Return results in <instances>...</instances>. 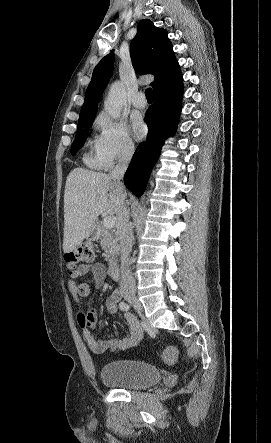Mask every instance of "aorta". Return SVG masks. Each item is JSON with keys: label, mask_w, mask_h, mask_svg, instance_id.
Here are the masks:
<instances>
[{"label": "aorta", "mask_w": 271, "mask_h": 443, "mask_svg": "<svg viewBox=\"0 0 271 443\" xmlns=\"http://www.w3.org/2000/svg\"><path fill=\"white\" fill-rule=\"evenodd\" d=\"M126 102V90L122 82H113L104 102V110L111 118H120L121 110Z\"/></svg>", "instance_id": "762f6f07"}]
</instances>
